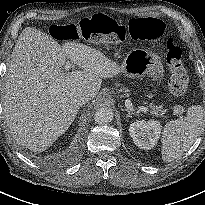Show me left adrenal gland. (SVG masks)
<instances>
[{"instance_id": "obj_1", "label": "left adrenal gland", "mask_w": 205, "mask_h": 205, "mask_svg": "<svg viewBox=\"0 0 205 205\" xmlns=\"http://www.w3.org/2000/svg\"><path fill=\"white\" fill-rule=\"evenodd\" d=\"M127 111V118L132 117V115H138V113L136 112H131L129 109H125Z\"/></svg>"}]
</instances>
